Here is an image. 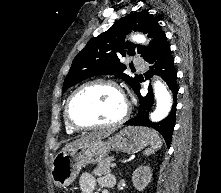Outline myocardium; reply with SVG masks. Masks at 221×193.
<instances>
[{"mask_svg": "<svg viewBox=\"0 0 221 193\" xmlns=\"http://www.w3.org/2000/svg\"><path fill=\"white\" fill-rule=\"evenodd\" d=\"M93 85H105V86L112 87L118 93H120V95L123 97L124 102H125V109H124L123 114L118 119L112 122H108V123H96V124H91V125H81L73 119L71 115V105L73 103V100L75 99V97L80 91H82L86 87L93 86ZM130 111H131L130 104L122 88L113 80L97 78V79H92V80L82 83L71 93L65 105V118L68 124L76 130L87 131V130H94V129L115 128V127L122 125L128 119L130 115Z\"/></svg>", "mask_w": 221, "mask_h": 193, "instance_id": "1", "label": "myocardium"}]
</instances>
